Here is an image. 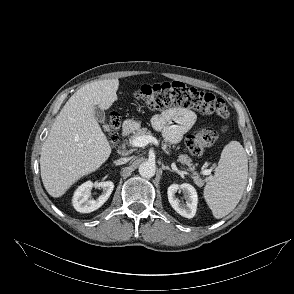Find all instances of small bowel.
<instances>
[{
  "label": "small bowel",
  "mask_w": 294,
  "mask_h": 294,
  "mask_svg": "<svg viewBox=\"0 0 294 294\" xmlns=\"http://www.w3.org/2000/svg\"><path fill=\"white\" fill-rule=\"evenodd\" d=\"M196 122L194 112L183 107H172L152 118V125L162 131L168 142L178 143Z\"/></svg>",
  "instance_id": "small-bowel-1"
}]
</instances>
